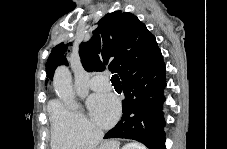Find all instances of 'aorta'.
I'll return each instance as SVG.
<instances>
[{
  "mask_svg": "<svg viewBox=\"0 0 227 149\" xmlns=\"http://www.w3.org/2000/svg\"><path fill=\"white\" fill-rule=\"evenodd\" d=\"M54 89L57 96L69 107L77 108L71 76L64 67L58 68L54 76Z\"/></svg>",
  "mask_w": 227,
  "mask_h": 149,
  "instance_id": "762f6f07",
  "label": "aorta"
}]
</instances>
